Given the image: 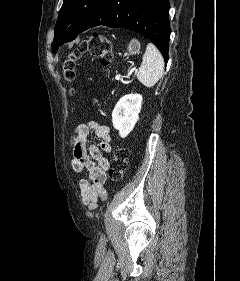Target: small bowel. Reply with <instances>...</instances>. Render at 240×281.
<instances>
[{
  "mask_svg": "<svg viewBox=\"0 0 240 281\" xmlns=\"http://www.w3.org/2000/svg\"><path fill=\"white\" fill-rule=\"evenodd\" d=\"M93 133L100 139L99 145H88V136ZM71 167L75 172H87L79 180L83 202L94 210L99 200H104L107 192L104 188L109 161L103 153L112 151V138L109 127L97 121L79 124L71 138Z\"/></svg>",
  "mask_w": 240,
  "mask_h": 281,
  "instance_id": "small-bowel-1",
  "label": "small bowel"
}]
</instances>
